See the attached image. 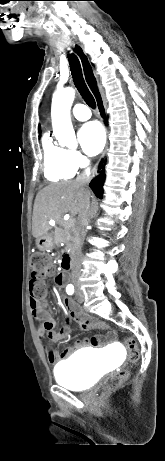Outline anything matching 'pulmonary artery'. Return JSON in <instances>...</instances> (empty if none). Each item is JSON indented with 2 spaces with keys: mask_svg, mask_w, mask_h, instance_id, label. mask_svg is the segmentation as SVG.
Returning <instances> with one entry per match:
<instances>
[{
  "mask_svg": "<svg viewBox=\"0 0 165 461\" xmlns=\"http://www.w3.org/2000/svg\"><path fill=\"white\" fill-rule=\"evenodd\" d=\"M72 113L74 117L80 121L87 120L91 117L89 108L83 104H77L73 107Z\"/></svg>",
  "mask_w": 165,
  "mask_h": 461,
  "instance_id": "1",
  "label": "pulmonary artery"
}]
</instances>
